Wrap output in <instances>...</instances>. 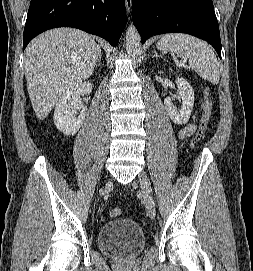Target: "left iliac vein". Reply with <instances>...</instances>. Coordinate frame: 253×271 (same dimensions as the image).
<instances>
[{"mask_svg":"<svg viewBox=\"0 0 253 271\" xmlns=\"http://www.w3.org/2000/svg\"><path fill=\"white\" fill-rule=\"evenodd\" d=\"M141 192L143 195L144 203L147 209V213L150 218L154 219L156 212H155V203L152 196V189L151 183L149 178L147 177L146 173L142 172L139 176Z\"/></svg>","mask_w":253,"mask_h":271,"instance_id":"4c4485c4","label":"left iliac vein"}]
</instances>
